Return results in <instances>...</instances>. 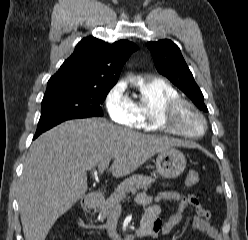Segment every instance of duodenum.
I'll list each match as a JSON object with an SVG mask.
<instances>
[{
    "instance_id": "obj_1",
    "label": "duodenum",
    "mask_w": 248,
    "mask_h": 240,
    "mask_svg": "<svg viewBox=\"0 0 248 240\" xmlns=\"http://www.w3.org/2000/svg\"><path fill=\"white\" fill-rule=\"evenodd\" d=\"M102 204L101 194L98 192L92 193L85 201V210L89 213L96 212ZM150 232V227L147 224H142L138 231V237H146ZM124 240H133L128 236Z\"/></svg>"
}]
</instances>
